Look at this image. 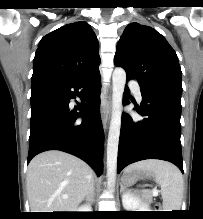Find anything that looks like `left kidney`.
<instances>
[{
    "label": "left kidney",
    "instance_id": "obj_1",
    "mask_svg": "<svg viewBox=\"0 0 203 219\" xmlns=\"http://www.w3.org/2000/svg\"><path fill=\"white\" fill-rule=\"evenodd\" d=\"M123 207L128 211L139 210V211H149V207L142 203L141 200L130 192H125L122 195Z\"/></svg>",
    "mask_w": 203,
    "mask_h": 219
}]
</instances>
